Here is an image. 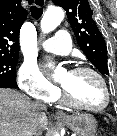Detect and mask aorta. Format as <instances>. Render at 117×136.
<instances>
[{
    "label": "aorta",
    "mask_w": 117,
    "mask_h": 136,
    "mask_svg": "<svg viewBox=\"0 0 117 136\" xmlns=\"http://www.w3.org/2000/svg\"><path fill=\"white\" fill-rule=\"evenodd\" d=\"M64 19V12L59 7H53L48 9L43 15L40 27L43 33H49L53 31ZM60 68L55 70V73H58Z\"/></svg>",
    "instance_id": "obj_1"
}]
</instances>
